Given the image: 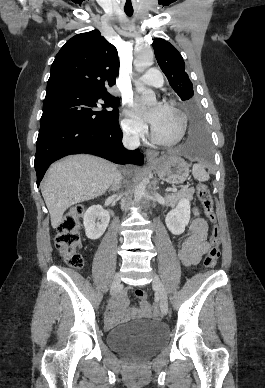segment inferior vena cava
I'll use <instances>...</instances> for the list:
<instances>
[{
  "label": "inferior vena cava",
  "instance_id": "1",
  "mask_svg": "<svg viewBox=\"0 0 265 388\" xmlns=\"http://www.w3.org/2000/svg\"><path fill=\"white\" fill-rule=\"evenodd\" d=\"M122 144L123 146H125V148H128V150H136V148H139L140 146L139 134H133V132H126V134H124L123 136ZM121 180V174H119V172H116L114 176V184L118 186ZM121 208L122 210H125V200H122Z\"/></svg>",
  "mask_w": 265,
  "mask_h": 388
}]
</instances>
